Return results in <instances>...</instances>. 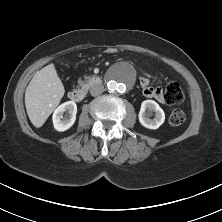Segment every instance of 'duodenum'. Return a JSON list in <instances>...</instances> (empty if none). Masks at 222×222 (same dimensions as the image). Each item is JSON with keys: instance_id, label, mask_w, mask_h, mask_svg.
Segmentation results:
<instances>
[{"instance_id": "1", "label": "duodenum", "mask_w": 222, "mask_h": 222, "mask_svg": "<svg viewBox=\"0 0 222 222\" xmlns=\"http://www.w3.org/2000/svg\"><path fill=\"white\" fill-rule=\"evenodd\" d=\"M100 83H101V78L96 76L89 81V86H96L99 85ZM87 91H88L87 87L75 88L69 91L68 97L71 101L80 102L86 97Z\"/></svg>"}]
</instances>
